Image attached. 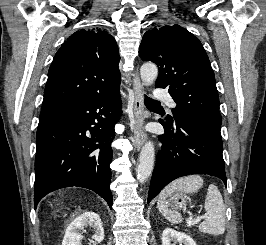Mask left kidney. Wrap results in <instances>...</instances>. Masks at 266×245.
Here are the masks:
<instances>
[{"mask_svg":"<svg viewBox=\"0 0 266 245\" xmlns=\"http://www.w3.org/2000/svg\"><path fill=\"white\" fill-rule=\"evenodd\" d=\"M196 245L195 241L185 235V233H178L174 229H164L162 235V245Z\"/></svg>","mask_w":266,"mask_h":245,"instance_id":"obj_1","label":"left kidney"}]
</instances>
